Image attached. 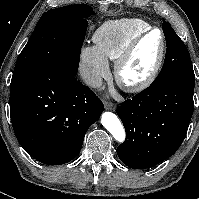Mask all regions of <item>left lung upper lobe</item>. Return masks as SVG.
Listing matches in <instances>:
<instances>
[{"mask_svg":"<svg viewBox=\"0 0 199 199\" xmlns=\"http://www.w3.org/2000/svg\"><path fill=\"white\" fill-rule=\"evenodd\" d=\"M166 38V55L161 72L152 83L158 85L173 79H195L190 54L170 23L162 25Z\"/></svg>","mask_w":199,"mask_h":199,"instance_id":"5c2ea615","label":"left lung upper lobe"}]
</instances>
